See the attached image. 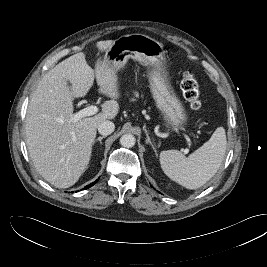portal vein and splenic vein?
Here are the masks:
<instances>
[{"label": "portal vein and splenic vein", "mask_w": 267, "mask_h": 267, "mask_svg": "<svg viewBox=\"0 0 267 267\" xmlns=\"http://www.w3.org/2000/svg\"><path fill=\"white\" fill-rule=\"evenodd\" d=\"M98 112V108L97 106L95 105H90L78 112H76L74 115H73V122H77L78 120H80L81 118L83 117H88V116H92L94 114H96ZM184 154H187L188 153V149H184L183 150Z\"/></svg>", "instance_id": "18ae733b"}]
</instances>
